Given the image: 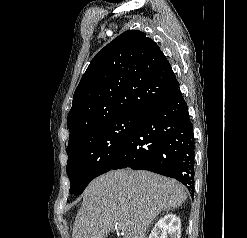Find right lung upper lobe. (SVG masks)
<instances>
[{
	"instance_id": "obj_1",
	"label": "right lung upper lobe",
	"mask_w": 247,
	"mask_h": 238,
	"mask_svg": "<svg viewBox=\"0 0 247 238\" xmlns=\"http://www.w3.org/2000/svg\"><path fill=\"white\" fill-rule=\"evenodd\" d=\"M179 86L160 48L145 33L129 30L92 59L68 114L69 143L115 118L142 114Z\"/></svg>"
}]
</instances>
